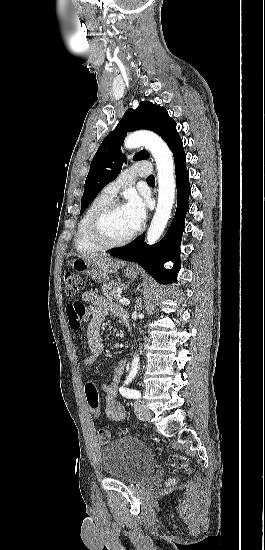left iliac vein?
<instances>
[{"mask_svg": "<svg viewBox=\"0 0 265 550\" xmlns=\"http://www.w3.org/2000/svg\"><path fill=\"white\" fill-rule=\"evenodd\" d=\"M135 413L141 421H148L151 418L150 410L140 400L135 402Z\"/></svg>", "mask_w": 265, "mask_h": 550, "instance_id": "4c4485c4", "label": "left iliac vein"}]
</instances>
